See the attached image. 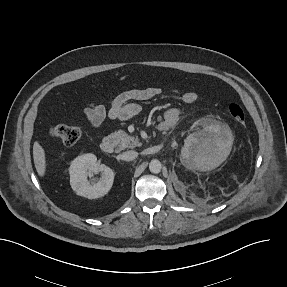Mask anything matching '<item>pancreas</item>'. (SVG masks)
Returning <instances> with one entry per match:
<instances>
[{"label": "pancreas", "instance_id": "1", "mask_svg": "<svg viewBox=\"0 0 287 287\" xmlns=\"http://www.w3.org/2000/svg\"><path fill=\"white\" fill-rule=\"evenodd\" d=\"M111 137L114 139L115 145L119 150L140 146L138 138L133 137L124 131L114 132L111 134Z\"/></svg>", "mask_w": 287, "mask_h": 287}]
</instances>
